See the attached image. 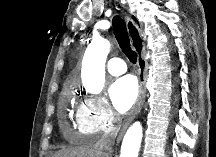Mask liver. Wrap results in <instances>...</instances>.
<instances>
[{"mask_svg":"<svg viewBox=\"0 0 216 157\" xmlns=\"http://www.w3.org/2000/svg\"><path fill=\"white\" fill-rule=\"evenodd\" d=\"M54 157H98L95 147L80 146L59 151Z\"/></svg>","mask_w":216,"mask_h":157,"instance_id":"obj_1","label":"liver"}]
</instances>
